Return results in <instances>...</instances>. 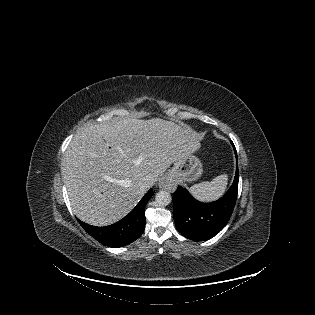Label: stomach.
<instances>
[{
	"label": "stomach",
	"mask_w": 315,
	"mask_h": 315,
	"mask_svg": "<svg viewBox=\"0 0 315 315\" xmlns=\"http://www.w3.org/2000/svg\"><path fill=\"white\" fill-rule=\"evenodd\" d=\"M202 164L194 155H190L183 160L175 162L172 169L165 175V179L172 182H192L197 180L202 174Z\"/></svg>",
	"instance_id": "obj_1"
}]
</instances>
